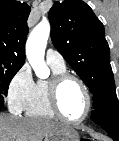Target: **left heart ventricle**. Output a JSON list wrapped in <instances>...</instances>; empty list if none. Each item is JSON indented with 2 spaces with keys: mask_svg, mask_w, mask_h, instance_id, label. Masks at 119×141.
Returning <instances> with one entry per match:
<instances>
[{
  "mask_svg": "<svg viewBox=\"0 0 119 141\" xmlns=\"http://www.w3.org/2000/svg\"><path fill=\"white\" fill-rule=\"evenodd\" d=\"M59 104L66 117L80 118L86 110V98L81 86L73 80L64 83L59 93Z\"/></svg>",
  "mask_w": 119,
  "mask_h": 141,
  "instance_id": "1",
  "label": "left heart ventricle"
}]
</instances>
